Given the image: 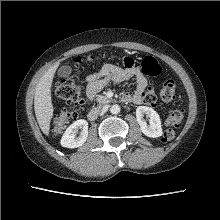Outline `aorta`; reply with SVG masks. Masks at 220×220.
Listing matches in <instances>:
<instances>
[{"mask_svg": "<svg viewBox=\"0 0 220 220\" xmlns=\"http://www.w3.org/2000/svg\"><path fill=\"white\" fill-rule=\"evenodd\" d=\"M110 112L112 114H118L120 112V106L117 104L112 105L110 108Z\"/></svg>", "mask_w": 220, "mask_h": 220, "instance_id": "1", "label": "aorta"}]
</instances>
